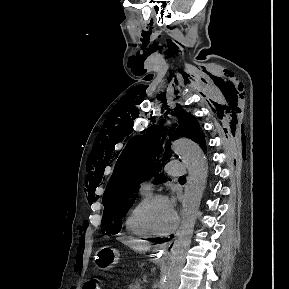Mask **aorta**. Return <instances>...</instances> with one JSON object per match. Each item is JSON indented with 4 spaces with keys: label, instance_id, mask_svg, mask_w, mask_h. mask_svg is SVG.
<instances>
[{
    "label": "aorta",
    "instance_id": "1",
    "mask_svg": "<svg viewBox=\"0 0 289 289\" xmlns=\"http://www.w3.org/2000/svg\"><path fill=\"white\" fill-rule=\"evenodd\" d=\"M171 150L186 164L188 178L182 202L181 225L168 258L162 289H178L208 172L206 157L195 142L178 139L172 143Z\"/></svg>",
    "mask_w": 289,
    "mask_h": 289
}]
</instances>
